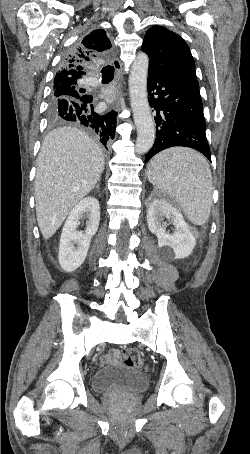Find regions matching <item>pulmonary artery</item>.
I'll list each match as a JSON object with an SVG mask.
<instances>
[{
    "instance_id": "e3ab8cb5",
    "label": "pulmonary artery",
    "mask_w": 250,
    "mask_h": 454,
    "mask_svg": "<svg viewBox=\"0 0 250 454\" xmlns=\"http://www.w3.org/2000/svg\"><path fill=\"white\" fill-rule=\"evenodd\" d=\"M86 83L90 86H97L99 84V81L97 78L95 77H88L86 79Z\"/></svg>"
}]
</instances>
